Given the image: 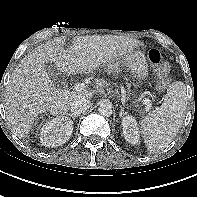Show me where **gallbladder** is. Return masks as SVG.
I'll use <instances>...</instances> for the list:
<instances>
[{
  "mask_svg": "<svg viewBox=\"0 0 197 197\" xmlns=\"http://www.w3.org/2000/svg\"><path fill=\"white\" fill-rule=\"evenodd\" d=\"M56 66L52 65V64H46L45 65V70L48 72L49 75H54V72L56 71Z\"/></svg>",
  "mask_w": 197,
  "mask_h": 197,
  "instance_id": "obj_1",
  "label": "gallbladder"
}]
</instances>
